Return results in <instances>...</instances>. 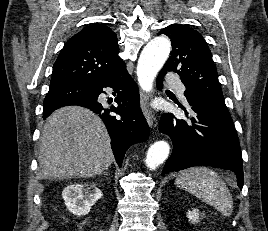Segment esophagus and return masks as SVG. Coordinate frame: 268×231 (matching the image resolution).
Here are the masks:
<instances>
[{
    "label": "esophagus",
    "instance_id": "34e87169",
    "mask_svg": "<svg viewBox=\"0 0 268 231\" xmlns=\"http://www.w3.org/2000/svg\"><path fill=\"white\" fill-rule=\"evenodd\" d=\"M140 98H141V103L143 106V113L146 118V121L149 127H152L155 121V117H154L153 111L149 107V95L141 91Z\"/></svg>",
    "mask_w": 268,
    "mask_h": 231
}]
</instances>
